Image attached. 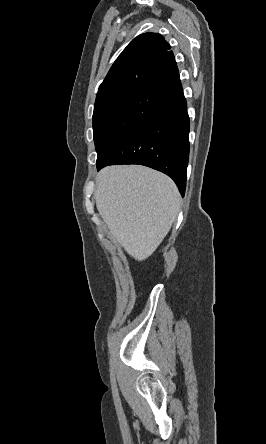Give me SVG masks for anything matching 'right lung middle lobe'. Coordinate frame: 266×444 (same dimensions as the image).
I'll return each mask as SVG.
<instances>
[{
  "instance_id": "dd1d6c3e",
  "label": "right lung middle lobe",
  "mask_w": 266,
  "mask_h": 444,
  "mask_svg": "<svg viewBox=\"0 0 266 444\" xmlns=\"http://www.w3.org/2000/svg\"><path fill=\"white\" fill-rule=\"evenodd\" d=\"M163 104L164 102L154 95L133 92L95 106L93 135L97 164Z\"/></svg>"
}]
</instances>
